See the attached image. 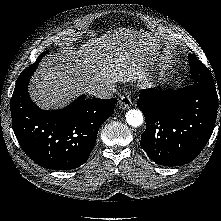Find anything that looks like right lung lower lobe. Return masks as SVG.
I'll use <instances>...</instances> for the list:
<instances>
[{
    "label": "right lung lower lobe",
    "instance_id": "right-lung-lower-lobe-1",
    "mask_svg": "<svg viewBox=\"0 0 221 221\" xmlns=\"http://www.w3.org/2000/svg\"><path fill=\"white\" fill-rule=\"evenodd\" d=\"M39 61L17 79L10 103L13 130L24 152L38 165L75 169L88 160L98 130L113 114L117 99H85L82 95L63 109L42 110L28 94V83Z\"/></svg>",
    "mask_w": 221,
    "mask_h": 221
}]
</instances>
